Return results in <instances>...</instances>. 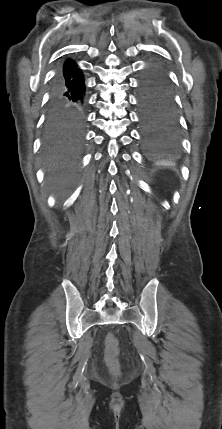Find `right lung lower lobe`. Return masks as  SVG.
Wrapping results in <instances>:
<instances>
[{
	"instance_id": "obj_1",
	"label": "right lung lower lobe",
	"mask_w": 222,
	"mask_h": 429,
	"mask_svg": "<svg viewBox=\"0 0 222 429\" xmlns=\"http://www.w3.org/2000/svg\"><path fill=\"white\" fill-rule=\"evenodd\" d=\"M85 81L73 60H66L50 86L47 125L65 135H77L84 125Z\"/></svg>"
}]
</instances>
